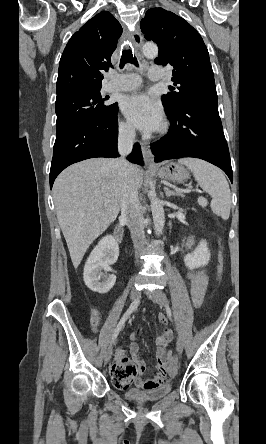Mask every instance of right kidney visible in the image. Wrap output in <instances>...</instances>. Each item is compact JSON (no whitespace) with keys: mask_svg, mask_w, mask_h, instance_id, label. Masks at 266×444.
Here are the masks:
<instances>
[{"mask_svg":"<svg viewBox=\"0 0 266 444\" xmlns=\"http://www.w3.org/2000/svg\"><path fill=\"white\" fill-rule=\"evenodd\" d=\"M118 256L119 246L114 237H103L91 252L84 267V282L90 290L104 294L114 286L116 276L108 272H113L110 265L117 261ZM102 270L105 273H102Z\"/></svg>","mask_w":266,"mask_h":444,"instance_id":"1","label":"right kidney"}]
</instances>
